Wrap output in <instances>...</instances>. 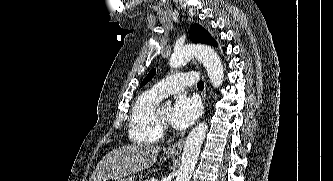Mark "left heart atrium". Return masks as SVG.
<instances>
[{"label":"left heart atrium","instance_id":"39dd6f15","mask_svg":"<svg viewBox=\"0 0 333 181\" xmlns=\"http://www.w3.org/2000/svg\"><path fill=\"white\" fill-rule=\"evenodd\" d=\"M200 114L197 100L187 96H180L175 101L170 115V123L176 129H186L192 125Z\"/></svg>","mask_w":333,"mask_h":181}]
</instances>
